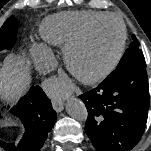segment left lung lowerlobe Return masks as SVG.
Wrapping results in <instances>:
<instances>
[{"instance_id":"left-lung-lower-lobe-1","label":"left lung lower lobe","mask_w":151,"mask_h":151,"mask_svg":"<svg viewBox=\"0 0 151 151\" xmlns=\"http://www.w3.org/2000/svg\"><path fill=\"white\" fill-rule=\"evenodd\" d=\"M88 110L85 131L98 151H129L147 122L149 86L146 65L132 64L80 95Z\"/></svg>"}]
</instances>
